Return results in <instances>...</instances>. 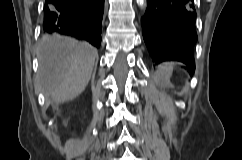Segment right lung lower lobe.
Returning <instances> with one entry per match:
<instances>
[{"label":"right lung lower lobe","mask_w":242,"mask_h":160,"mask_svg":"<svg viewBox=\"0 0 242 160\" xmlns=\"http://www.w3.org/2000/svg\"><path fill=\"white\" fill-rule=\"evenodd\" d=\"M103 11L104 0H46L43 33L85 39L98 48Z\"/></svg>","instance_id":"98d812e1"}]
</instances>
